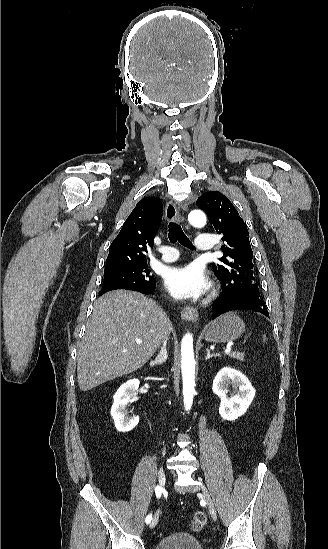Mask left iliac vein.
Returning a JSON list of instances; mask_svg holds the SVG:
<instances>
[{"label": "left iliac vein", "mask_w": 328, "mask_h": 549, "mask_svg": "<svg viewBox=\"0 0 328 549\" xmlns=\"http://www.w3.org/2000/svg\"><path fill=\"white\" fill-rule=\"evenodd\" d=\"M201 493H202L203 498H204V500L207 504V508L209 510V513H210L211 517L214 520H216L217 519L216 508H215V505H214V502L211 498L210 493L208 492V490L205 487L201 488Z\"/></svg>", "instance_id": "4c4485c4"}]
</instances>
